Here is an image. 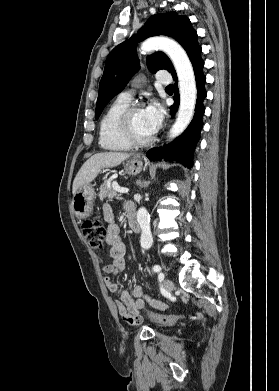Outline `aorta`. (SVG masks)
<instances>
[{"label": "aorta", "mask_w": 279, "mask_h": 391, "mask_svg": "<svg viewBox=\"0 0 279 391\" xmlns=\"http://www.w3.org/2000/svg\"><path fill=\"white\" fill-rule=\"evenodd\" d=\"M162 50L171 59L178 77L180 105L177 118L169 131L168 137L174 139L190 124L195 110L197 87L192 64L184 49L174 40L166 37H152L143 42L142 53ZM137 221L141 228L140 244L144 249L152 246L153 238L150 229V216L146 208L141 207L137 212Z\"/></svg>", "instance_id": "obj_1"}]
</instances>
